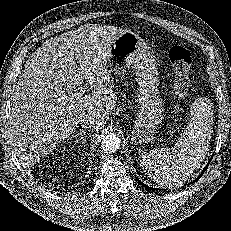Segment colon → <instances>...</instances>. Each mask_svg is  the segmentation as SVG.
Segmentation results:
<instances>
[{"mask_svg":"<svg viewBox=\"0 0 231 231\" xmlns=\"http://www.w3.org/2000/svg\"><path fill=\"white\" fill-rule=\"evenodd\" d=\"M169 60L176 77L175 94L179 98H184L190 92L192 54L185 47L174 46L169 51Z\"/></svg>","mask_w":231,"mask_h":231,"instance_id":"obj_1","label":"colon"}]
</instances>
